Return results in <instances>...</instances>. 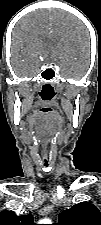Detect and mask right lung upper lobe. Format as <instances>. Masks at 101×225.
I'll use <instances>...</instances> for the list:
<instances>
[{
	"instance_id": "1",
	"label": "right lung upper lobe",
	"mask_w": 101,
	"mask_h": 225,
	"mask_svg": "<svg viewBox=\"0 0 101 225\" xmlns=\"http://www.w3.org/2000/svg\"><path fill=\"white\" fill-rule=\"evenodd\" d=\"M0 225H34L33 216H18L13 211H3L0 213Z\"/></svg>"
}]
</instances>
